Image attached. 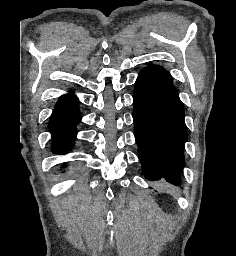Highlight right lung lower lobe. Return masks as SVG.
Wrapping results in <instances>:
<instances>
[{
  "label": "right lung lower lobe",
  "instance_id": "1",
  "mask_svg": "<svg viewBox=\"0 0 236 256\" xmlns=\"http://www.w3.org/2000/svg\"><path fill=\"white\" fill-rule=\"evenodd\" d=\"M80 119L76 96L74 94L61 96L50 117L48 127L53 137L54 153L62 154L72 148L77 134L76 125Z\"/></svg>",
  "mask_w": 236,
  "mask_h": 256
}]
</instances>
